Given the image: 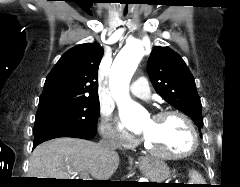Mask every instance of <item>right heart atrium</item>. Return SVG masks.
Instances as JSON below:
<instances>
[{
    "mask_svg": "<svg viewBox=\"0 0 240 187\" xmlns=\"http://www.w3.org/2000/svg\"><path fill=\"white\" fill-rule=\"evenodd\" d=\"M100 135L102 140L112 146H128V143L124 136H122L116 127L111 123L108 115H104L100 124Z\"/></svg>",
    "mask_w": 240,
    "mask_h": 187,
    "instance_id": "1",
    "label": "right heart atrium"
}]
</instances>
